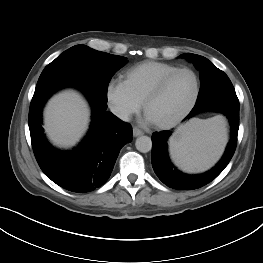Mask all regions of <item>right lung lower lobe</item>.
<instances>
[{
	"mask_svg": "<svg viewBox=\"0 0 263 263\" xmlns=\"http://www.w3.org/2000/svg\"><path fill=\"white\" fill-rule=\"evenodd\" d=\"M80 89L91 103L92 123L78 147L70 151L57 150L43 134L41 111L58 89L32 98L28 122L33 151L42 171L62 188L85 193L102 186L110 177L120 149L132 140V128L106 111V103L88 90Z\"/></svg>",
	"mask_w": 263,
	"mask_h": 263,
	"instance_id": "right-lung-lower-lobe-1",
	"label": "right lung lower lobe"
}]
</instances>
